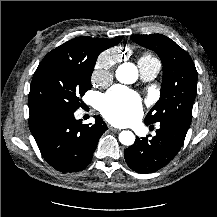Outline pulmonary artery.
Listing matches in <instances>:
<instances>
[{
    "label": "pulmonary artery",
    "instance_id": "obj_1",
    "mask_svg": "<svg viewBox=\"0 0 217 217\" xmlns=\"http://www.w3.org/2000/svg\"><path fill=\"white\" fill-rule=\"evenodd\" d=\"M138 64L141 78L145 81L153 80L160 71V64L158 61L140 62Z\"/></svg>",
    "mask_w": 217,
    "mask_h": 217
}]
</instances>
